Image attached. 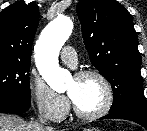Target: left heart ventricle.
I'll list each match as a JSON object with an SVG mask.
<instances>
[{"instance_id": "left-heart-ventricle-1", "label": "left heart ventricle", "mask_w": 147, "mask_h": 131, "mask_svg": "<svg viewBox=\"0 0 147 131\" xmlns=\"http://www.w3.org/2000/svg\"><path fill=\"white\" fill-rule=\"evenodd\" d=\"M67 92L77 108L84 113L95 112L105 99L103 86L96 78H73L67 86Z\"/></svg>"}]
</instances>
